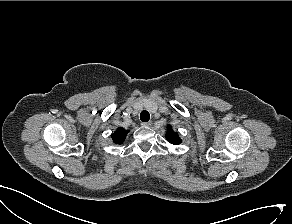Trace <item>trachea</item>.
Here are the masks:
<instances>
[{"label":"trachea","instance_id":"1","mask_svg":"<svg viewBox=\"0 0 292 224\" xmlns=\"http://www.w3.org/2000/svg\"><path fill=\"white\" fill-rule=\"evenodd\" d=\"M140 119H141V121H143V122H147V121H149V119H150V114H149V112L146 111V110L142 111L141 114H140Z\"/></svg>","mask_w":292,"mask_h":224}]
</instances>
